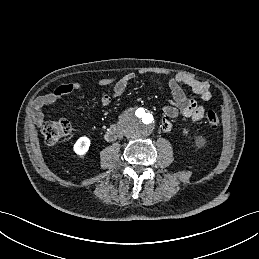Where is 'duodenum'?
<instances>
[{
	"label": "duodenum",
	"instance_id": "1",
	"mask_svg": "<svg viewBox=\"0 0 259 259\" xmlns=\"http://www.w3.org/2000/svg\"><path fill=\"white\" fill-rule=\"evenodd\" d=\"M119 134V129L113 125L105 134V139L107 141H113L117 138Z\"/></svg>",
	"mask_w": 259,
	"mask_h": 259
}]
</instances>
